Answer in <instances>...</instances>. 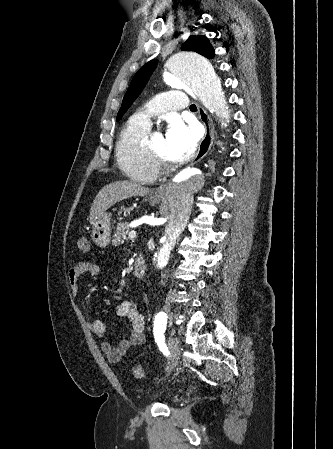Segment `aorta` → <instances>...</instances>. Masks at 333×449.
Instances as JSON below:
<instances>
[{
    "label": "aorta",
    "mask_w": 333,
    "mask_h": 449,
    "mask_svg": "<svg viewBox=\"0 0 333 449\" xmlns=\"http://www.w3.org/2000/svg\"><path fill=\"white\" fill-rule=\"evenodd\" d=\"M164 81L172 87L190 91L218 117L227 118L228 108L221 81L206 57L188 51L172 54L165 62ZM215 170L212 164L188 168L176 175L168 185L166 195L170 216L155 255L159 269L168 264L176 240L185 229L192 212L194 195L204 189L208 180L214 177Z\"/></svg>",
    "instance_id": "obj_1"
}]
</instances>
